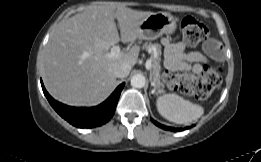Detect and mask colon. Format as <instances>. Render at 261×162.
<instances>
[{
  "instance_id": "obj_1",
  "label": "colon",
  "mask_w": 261,
  "mask_h": 162,
  "mask_svg": "<svg viewBox=\"0 0 261 162\" xmlns=\"http://www.w3.org/2000/svg\"><path fill=\"white\" fill-rule=\"evenodd\" d=\"M180 29L185 42L191 46L197 45L208 35L207 27L191 16L181 20ZM164 81L170 90L202 100L209 97L221 84L222 69L204 66L203 72L198 76L168 73Z\"/></svg>"
}]
</instances>
